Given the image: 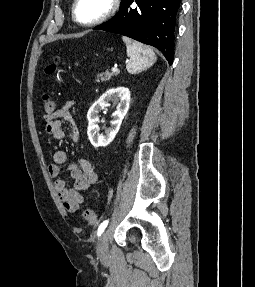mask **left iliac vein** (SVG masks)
I'll use <instances>...</instances> for the list:
<instances>
[{
    "label": "left iliac vein",
    "mask_w": 255,
    "mask_h": 287,
    "mask_svg": "<svg viewBox=\"0 0 255 287\" xmlns=\"http://www.w3.org/2000/svg\"><path fill=\"white\" fill-rule=\"evenodd\" d=\"M97 252L101 257L106 256L109 253V245H108V234L107 231L104 232L97 244Z\"/></svg>",
    "instance_id": "obj_1"
}]
</instances>
